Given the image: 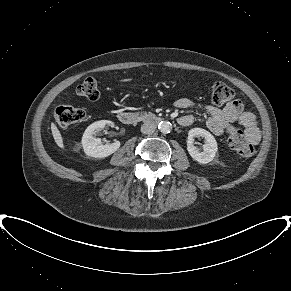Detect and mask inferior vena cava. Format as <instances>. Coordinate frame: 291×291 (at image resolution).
<instances>
[{"label": "inferior vena cava", "mask_w": 291, "mask_h": 291, "mask_svg": "<svg viewBox=\"0 0 291 291\" xmlns=\"http://www.w3.org/2000/svg\"><path fill=\"white\" fill-rule=\"evenodd\" d=\"M155 131V125L151 122H145L141 126V132L143 134H152Z\"/></svg>", "instance_id": "1"}]
</instances>
